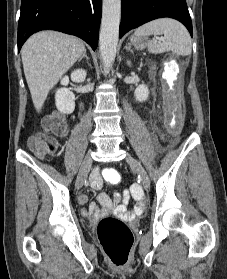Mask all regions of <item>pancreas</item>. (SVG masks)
<instances>
[{
  "label": "pancreas",
  "mask_w": 227,
  "mask_h": 279,
  "mask_svg": "<svg viewBox=\"0 0 227 279\" xmlns=\"http://www.w3.org/2000/svg\"><path fill=\"white\" fill-rule=\"evenodd\" d=\"M156 70V65H152L151 70H150V74H154Z\"/></svg>",
  "instance_id": "cf45deb5"
}]
</instances>
